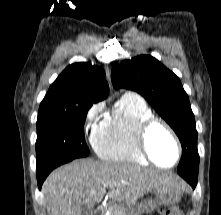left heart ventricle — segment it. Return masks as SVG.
Listing matches in <instances>:
<instances>
[{
	"label": "left heart ventricle",
	"mask_w": 221,
	"mask_h": 215,
	"mask_svg": "<svg viewBox=\"0 0 221 215\" xmlns=\"http://www.w3.org/2000/svg\"><path fill=\"white\" fill-rule=\"evenodd\" d=\"M147 144L153 159L158 164L169 166L174 163L177 155L176 146L164 128L153 127L149 132Z\"/></svg>",
	"instance_id": "b2bd125f"
}]
</instances>
